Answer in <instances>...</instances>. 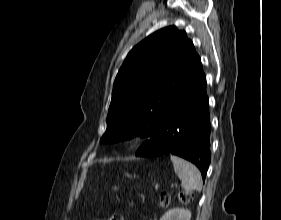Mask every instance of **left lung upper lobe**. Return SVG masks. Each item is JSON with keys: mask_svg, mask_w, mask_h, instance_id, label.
<instances>
[{"mask_svg": "<svg viewBox=\"0 0 281 220\" xmlns=\"http://www.w3.org/2000/svg\"><path fill=\"white\" fill-rule=\"evenodd\" d=\"M201 65L184 31L165 27L137 44L114 81L107 130L100 142L153 138L179 90Z\"/></svg>", "mask_w": 281, "mask_h": 220, "instance_id": "5c2ea615", "label": "left lung upper lobe"}]
</instances>
